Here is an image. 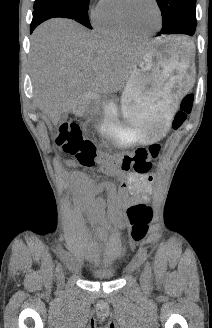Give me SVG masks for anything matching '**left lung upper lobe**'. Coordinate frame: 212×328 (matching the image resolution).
<instances>
[{"label": "left lung upper lobe", "mask_w": 212, "mask_h": 328, "mask_svg": "<svg viewBox=\"0 0 212 328\" xmlns=\"http://www.w3.org/2000/svg\"><path fill=\"white\" fill-rule=\"evenodd\" d=\"M162 14L161 34H190L196 28V0H156Z\"/></svg>", "instance_id": "left-lung-upper-lobe-1"}]
</instances>
